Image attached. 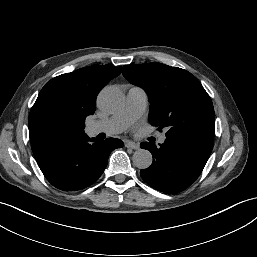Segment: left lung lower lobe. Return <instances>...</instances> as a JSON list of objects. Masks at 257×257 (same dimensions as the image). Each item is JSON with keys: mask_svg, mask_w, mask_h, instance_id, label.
Segmentation results:
<instances>
[{"mask_svg": "<svg viewBox=\"0 0 257 257\" xmlns=\"http://www.w3.org/2000/svg\"><path fill=\"white\" fill-rule=\"evenodd\" d=\"M213 133L184 134L166 138L160 147L142 142L152 153L153 163L140 171L142 179L164 193L175 194L188 188L201 174L213 149Z\"/></svg>", "mask_w": 257, "mask_h": 257, "instance_id": "obj_1", "label": "left lung lower lobe"}]
</instances>
